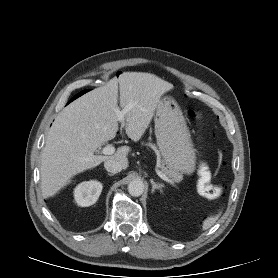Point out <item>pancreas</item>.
Here are the masks:
<instances>
[{"label":"pancreas","instance_id":"pancreas-1","mask_svg":"<svg viewBox=\"0 0 278 278\" xmlns=\"http://www.w3.org/2000/svg\"><path fill=\"white\" fill-rule=\"evenodd\" d=\"M148 145L150 147H152L155 151H157L154 145H152V144H148ZM157 162H158L159 166L161 167V172L164 175H166L173 182L179 183L183 179L182 173L178 172L175 169L166 167L164 164V161H162L159 156L157 158Z\"/></svg>","mask_w":278,"mask_h":278}]
</instances>
